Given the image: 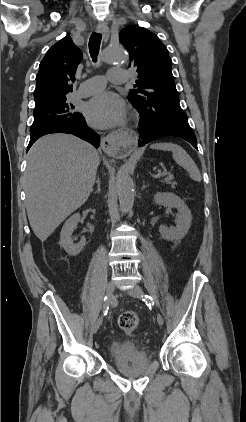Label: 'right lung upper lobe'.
<instances>
[{
    "instance_id": "right-lung-upper-lobe-1",
    "label": "right lung upper lobe",
    "mask_w": 246,
    "mask_h": 422,
    "mask_svg": "<svg viewBox=\"0 0 246 422\" xmlns=\"http://www.w3.org/2000/svg\"><path fill=\"white\" fill-rule=\"evenodd\" d=\"M82 53L69 36L54 44L39 65L34 90L35 109L66 98L72 92L70 81L75 80V71Z\"/></svg>"
}]
</instances>
